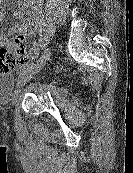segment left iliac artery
<instances>
[{"label":"left iliac artery","instance_id":"44dca946","mask_svg":"<svg viewBox=\"0 0 133 173\" xmlns=\"http://www.w3.org/2000/svg\"><path fill=\"white\" fill-rule=\"evenodd\" d=\"M49 56H50V49L47 48V49H45L44 54L41 56V58H46V57H49ZM41 58H40V59H41ZM37 61H38V60H37ZM37 61H36V62H37ZM36 62H31V63H29V64H26L23 68H21L19 74L21 75V74H23L24 72H26L28 69L34 67V66L36 65Z\"/></svg>","mask_w":133,"mask_h":173}]
</instances>
